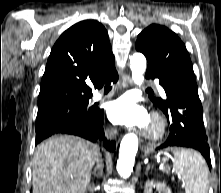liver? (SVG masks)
Here are the masks:
<instances>
[{
    "label": "liver",
    "instance_id": "obj_1",
    "mask_svg": "<svg viewBox=\"0 0 221 193\" xmlns=\"http://www.w3.org/2000/svg\"><path fill=\"white\" fill-rule=\"evenodd\" d=\"M100 148L76 136H53L33 156V193H85Z\"/></svg>",
    "mask_w": 221,
    "mask_h": 193
}]
</instances>
